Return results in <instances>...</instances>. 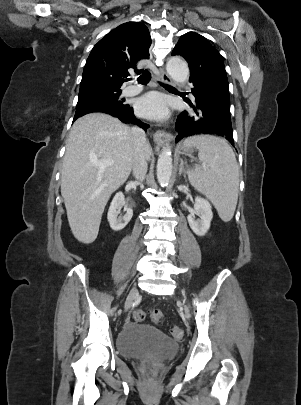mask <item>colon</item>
Segmentation results:
<instances>
[{
  "instance_id": "obj_1",
  "label": "colon",
  "mask_w": 301,
  "mask_h": 405,
  "mask_svg": "<svg viewBox=\"0 0 301 405\" xmlns=\"http://www.w3.org/2000/svg\"><path fill=\"white\" fill-rule=\"evenodd\" d=\"M147 315L150 318V320L155 324H159L163 318L162 312L160 310L155 309L151 310L148 314L143 310H135L133 312V319L136 322H142L146 319ZM172 335L174 338L180 339L183 336V331L180 327L175 326L172 329ZM155 373H156V366L153 363H149L148 364L149 376L152 377Z\"/></svg>"
}]
</instances>
